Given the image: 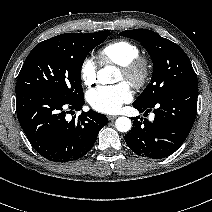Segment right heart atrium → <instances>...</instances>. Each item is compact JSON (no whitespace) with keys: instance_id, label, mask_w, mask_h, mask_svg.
Here are the masks:
<instances>
[{"instance_id":"1","label":"right heart atrium","mask_w":212,"mask_h":212,"mask_svg":"<svg viewBox=\"0 0 212 212\" xmlns=\"http://www.w3.org/2000/svg\"><path fill=\"white\" fill-rule=\"evenodd\" d=\"M80 78L86 86H91L97 81V64L92 58H85L81 63Z\"/></svg>"}]
</instances>
